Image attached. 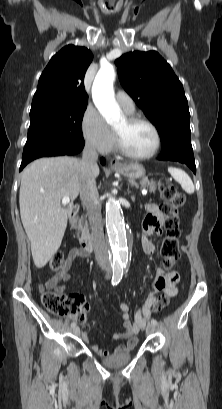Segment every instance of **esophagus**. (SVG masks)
Instances as JSON below:
<instances>
[{
	"label": "esophagus",
	"instance_id": "1",
	"mask_svg": "<svg viewBox=\"0 0 222 409\" xmlns=\"http://www.w3.org/2000/svg\"><path fill=\"white\" fill-rule=\"evenodd\" d=\"M110 165H111V167H121V162L119 161V159H117V158H113V159H111V161H110Z\"/></svg>",
	"mask_w": 222,
	"mask_h": 409
}]
</instances>
